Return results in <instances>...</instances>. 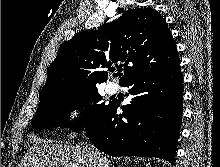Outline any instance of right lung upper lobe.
Segmentation results:
<instances>
[{"instance_id": "1", "label": "right lung upper lobe", "mask_w": 220, "mask_h": 167, "mask_svg": "<svg viewBox=\"0 0 220 167\" xmlns=\"http://www.w3.org/2000/svg\"><path fill=\"white\" fill-rule=\"evenodd\" d=\"M121 63L125 66L121 85L137 75L179 63L168 25L154 9L128 10L117 20L97 30L79 32L64 42L50 66L39 100L64 90L94 87L108 76L102 68L114 71Z\"/></svg>"}]
</instances>
